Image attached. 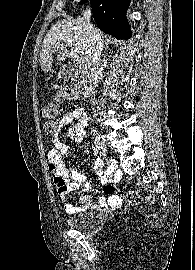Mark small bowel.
<instances>
[{"mask_svg": "<svg viewBox=\"0 0 195 270\" xmlns=\"http://www.w3.org/2000/svg\"><path fill=\"white\" fill-rule=\"evenodd\" d=\"M87 116L82 108L73 109L65 113L57 123L56 133L52 136L53 147L47 153L48 169L53 176V183L57 187L59 196L66 199L74 190L83 189L87 191L90 188L85 175L80 172L81 164L76 162L70 168L65 164V157L68 153V146L59 140V132L65 127L68 128V136L77 144H81L86 136ZM73 123V124H72ZM98 166V163H96ZM110 177L115 180L118 177V171L114 164L109 168ZM104 184V193L107 197L99 200L101 206H110L119 208L123 204V198L117 194V188L109 182L106 176L101 177ZM83 206L66 204L65 210L69 214H77L84 211L91 203V197L84 193L81 196Z\"/></svg>", "mask_w": 195, "mask_h": 270, "instance_id": "1", "label": "small bowel"}]
</instances>
